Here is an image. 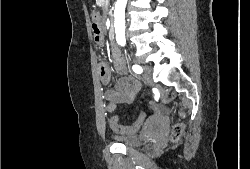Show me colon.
<instances>
[{
	"label": "colon",
	"instance_id": "obj_1",
	"mask_svg": "<svg viewBox=\"0 0 250 169\" xmlns=\"http://www.w3.org/2000/svg\"><path fill=\"white\" fill-rule=\"evenodd\" d=\"M92 32H93V37L94 40L97 44H100L102 42V30L101 26L99 23V17L95 16L93 18V23H92ZM179 106L181 105L180 103L178 104ZM108 108H116V103H108L107 104ZM176 115H180L179 119L180 120H188V115H184V110H176ZM141 115H138V121L131 127H126V126H121L117 122L118 120V114L116 113L113 115V119H110V125L111 129L115 132H127L130 130L132 133L138 132L144 124L145 120V113L141 112ZM189 123L188 122H175V126H171V131L169 134V139L170 143H179V139H184V134H185V127H188Z\"/></svg>",
	"mask_w": 250,
	"mask_h": 169
}]
</instances>
